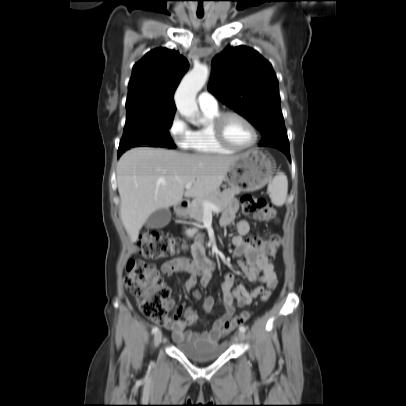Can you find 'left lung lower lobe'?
Segmentation results:
<instances>
[{"mask_svg":"<svg viewBox=\"0 0 406 406\" xmlns=\"http://www.w3.org/2000/svg\"><path fill=\"white\" fill-rule=\"evenodd\" d=\"M279 150L283 151L286 154V156L288 157V159L290 160L289 148L282 147Z\"/></svg>","mask_w":406,"mask_h":406,"instance_id":"0a47b994","label":"left lung lower lobe"}]
</instances>
